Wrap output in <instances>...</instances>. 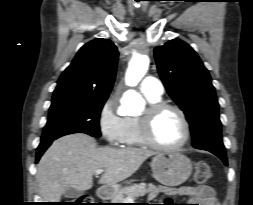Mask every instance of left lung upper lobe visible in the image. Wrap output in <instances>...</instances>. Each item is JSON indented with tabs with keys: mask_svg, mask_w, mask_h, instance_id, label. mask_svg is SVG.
<instances>
[{
	"mask_svg": "<svg viewBox=\"0 0 253 205\" xmlns=\"http://www.w3.org/2000/svg\"><path fill=\"white\" fill-rule=\"evenodd\" d=\"M154 52L167 92L190 123L192 146L226 154L215 89L197 53L177 39L156 47Z\"/></svg>",
	"mask_w": 253,
	"mask_h": 205,
	"instance_id": "left-lung-upper-lobe-1",
	"label": "left lung upper lobe"
}]
</instances>
